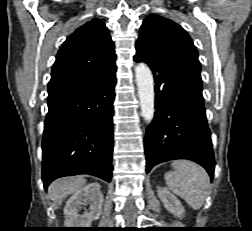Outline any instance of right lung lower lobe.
<instances>
[{
	"label": "right lung lower lobe",
	"mask_w": 252,
	"mask_h": 231,
	"mask_svg": "<svg viewBox=\"0 0 252 231\" xmlns=\"http://www.w3.org/2000/svg\"><path fill=\"white\" fill-rule=\"evenodd\" d=\"M115 84L113 76L48 105L42 142L45 188L59 177L78 174L110 182Z\"/></svg>",
	"instance_id": "right-lung-lower-lobe-1"
}]
</instances>
